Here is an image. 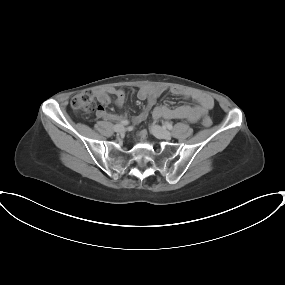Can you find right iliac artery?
<instances>
[{
    "label": "right iliac artery",
    "mask_w": 285,
    "mask_h": 285,
    "mask_svg": "<svg viewBox=\"0 0 285 285\" xmlns=\"http://www.w3.org/2000/svg\"><path fill=\"white\" fill-rule=\"evenodd\" d=\"M120 123L123 124V125H127L129 122L127 120H123Z\"/></svg>",
    "instance_id": "82829eb1"
}]
</instances>
